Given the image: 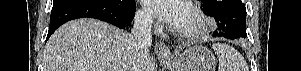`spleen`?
I'll return each mask as SVG.
<instances>
[{"label":"spleen","mask_w":301,"mask_h":71,"mask_svg":"<svg viewBox=\"0 0 301 71\" xmlns=\"http://www.w3.org/2000/svg\"><path fill=\"white\" fill-rule=\"evenodd\" d=\"M212 47L218 57V71H249L246 60L232 46L214 43Z\"/></svg>","instance_id":"spleen-1"}]
</instances>
